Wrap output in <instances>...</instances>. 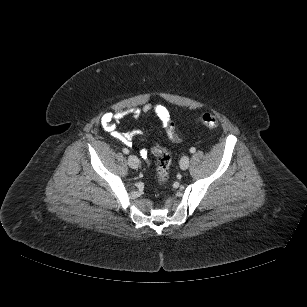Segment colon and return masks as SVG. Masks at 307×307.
Segmentation results:
<instances>
[{"label":"colon","mask_w":307,"mask_h":307,"mask_svg":"<svg viewBox=\"0 0 307 307\" xmlns=\"http://www.w3.org/2000/svg\"><path fill=\"white\" fill-rule=\"evenodd\" d=\"M200 123L208 128H217L219 126V120L216 116L205 113L200 117ZM166 132L167 136L171 141L177 142L180 140V137L176 133L174 123L169 120L166 123ZM152 153L156 157V175L159 183H165L169 178V169L171 165V156L170 153L160 147L154 146L152 148Z\"/></svg>","instance_id":"1"}]
</instances>
